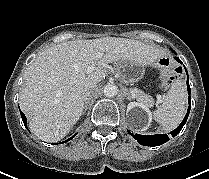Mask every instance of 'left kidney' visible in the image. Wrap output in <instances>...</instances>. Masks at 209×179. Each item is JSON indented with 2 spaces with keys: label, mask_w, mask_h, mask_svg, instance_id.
I'll use <instances>...</instances> for the list:
<instances>
[{
  "label": "left kidney",
  "mask_w": 209,
  "mask_h": 179,
  "mask_svg": "<svg viewBox=\"0 0 209 179\" xmlns=\"http://www.w3.org/2000/svg\"><path fill=\"white\" fill-rule=\"evenodd\" d=\"M127 113H129L131 122L133 124H137L139 117L143 116L147 120V125L145 129H147L150 126V123L152 121V113L149 110L148 106H146L143 103L138 102H130L127 106Z\"/></svg>",
  "instance_id": "left-kidney-1"
}]
</instances>
